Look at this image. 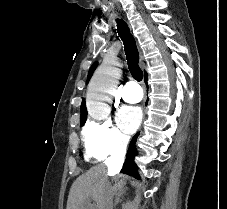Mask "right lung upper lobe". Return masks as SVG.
<instances>
[{
  "label": "right lung upper lobe",
  "mask_w": 227,
  "mask_h": 209,
  "mask_svg": "<svg viewBox=\"0 0 227 209\" xmlns=\"http://www.w3.org/2000/svg\"><path fill=\"white\" fill-rule=\"evenodd\" d=\"M96 67H97V62H95L89 70L88 77H87V83L89 82ZM146 76H147V73L145 72V77ZM81 119H87V110H86V104H85L84 98L82 99V104H81Z\"/></svg>",
  "instance_id": "cb5924a9"
}]
</instances>
